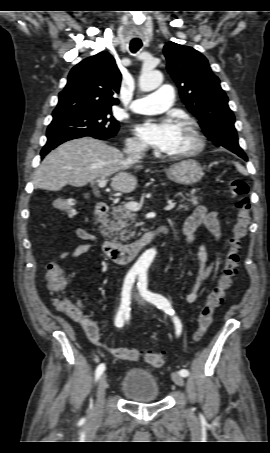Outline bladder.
I'll return each mask as SVG.
<instances>
[{
  "mask_svg": "<svg viewBox=\"0 0 270 453\" xmlns=\"http://www.w3.org/2000/svg\"><path fill=\"white\" fill-rule=\"evenodd\" d=\"M120 391L129 400L138 403L155 402L160 397V386L147 370L133 368L127 371L121 381Z\"/></svg>",
  "mask_w": 270,
  "mask_h": 453,
  "instance_id": "bladder-1",
  "label": "bladder"
}]
</instances>
